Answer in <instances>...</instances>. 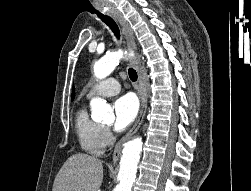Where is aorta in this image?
Here are the masks:
<instances>
[{
	"label": "aorta",
	"mask_w": 251,
	"mask_h": 191,
	"mask_svg": "<svg viewBox=\"0 0 251 191\" xmlns=\"http://www.w3.org/2000/svg\"><path fill=\"white\" fill-rule=\"evenodd\" d=\"M131 58L133 56L132 50H117V52H108L104 58H101L99 62L94 64V76L98 80H103L107 78L109 74H112L116 66L119 64V60L122 58ZM90 105L92 107V119L94 121H107L110 117L114 119V113L111 105L106 103L101 97H94L91 99ZM142 137H135L132 141H127L124 143L122 149V157L120 159V169H119V179L120 183L118 185V191H131L133 181L136 177L137 163L140 159V153L142 151Z\"/></svg>",
	"instance_id": "obj_1"
}]
</instances>
